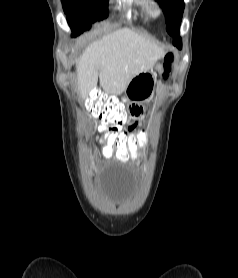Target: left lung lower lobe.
Listing matches in <instances>:
<instances>
[{"instance_id":"obj_1","label":"left lung lower lobe","mask_w":238,"mask_h":278,"mask_svg":"<svg viewBox=\"0 0 238 278\" xmlns=\"http://www.w3.org/2000/svg\"><path fill=\"white\" fill-rule=\"evenodd\" d=\"M174 37V44L177 46V47H181V38L179 37V30L174 34L172 35Z\"/></svg>"}]
</instances>
